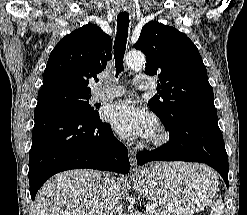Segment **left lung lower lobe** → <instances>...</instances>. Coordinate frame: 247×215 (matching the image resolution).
Instances as JSON below:
<instances>
[{"instance_id": "0a47b994", "label": "left lung lower lobe", "mask_w": 247, "mask_h": 215, "mask_svg": "<svg viewBox=\"0 0 247 215\" xmlns=\"http://www.w3.org/2000/svg\"><path fill=\"white\" fill-rule=\"evenodd\" d=\"M167 130L169 142L152 151H140L137 154L138 165L150 161L205 163L217 170L229 187L228 156L217 118L198 116L185 119Z\"/></svg>"}]
</instances>
